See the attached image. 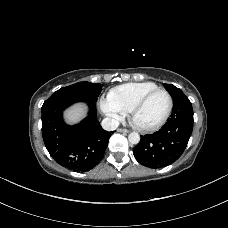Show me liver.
<instances>
[{
	"mask_svg": "<svg viewBox=\"0 0 228 228\" xmlns=\"http://www.w3.org/2000/svg\"><path fill=\"white\" fill-rule=\"evenodd\" d=\"M87 107L84 104H76L65 113V118L69 123H77L86 116Z\"/></svg>",
	"mask_w": 228,
	"mask_h": 228,
	"instance_id": "6515ba94",
	"label": "liver"
}]
</instances>
